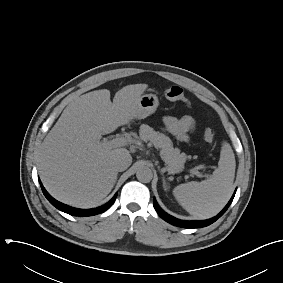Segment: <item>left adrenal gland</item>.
<instances>
[{
	"mask_svg": "<svg viewBox=\"0 0 283 283\" xmlns=\"http://www.w3.org/2000/svg\"><path fill=\"white\" fill-rule=\"evenodd\" d=\"M162 180H163V187H164L165 190H167L168 186H167V183H166V180H165L164 176L162 177Z\"/></svg>",
	"mask_w": 283,
	"mask_h": 283,
	"instance_id": "1",
	"label": "left adrenal gland"
}]
</instances>
